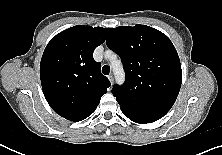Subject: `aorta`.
Segmentation results:
<instances>
[{"label": "aorta", "instance_id": "obj_1", "mask_svg": "<svg viewBox=\"0 0 222 155\" xmlns=\"http://www.w3.org/2000/svg\"><path fill=\"white\" fill-rule=\"evenodd\" d=\"M113 72L116 78L117 83L121 84L124 82L125 74L124 70L120 64V62H113L112 63Z\"/></svg>", "mask_w": 222, "mask_h": 155}]
</instances>
